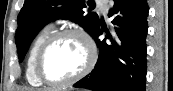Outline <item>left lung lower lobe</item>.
<instances>
[{"label":"left lung lower lobe","instance_id":"0a47b994","mask_svg":"<svg viewBox=\"0 0 173 91\" xmlns=\"http://www.w3.org/2000/svg\"><path fill=\"white\" fill-rule=\"evenodd\" d=\"M108 16L114 26L101 23L92 37L99 47V57L91 74L76 82V88L94 91H145L147 0H113ZM105 31L106 39L99 36Z\"/></svg>","mask_w":173,"mask_h":91}]
</instances>
